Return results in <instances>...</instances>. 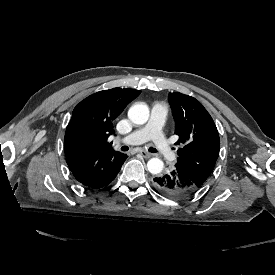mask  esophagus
<instances>
[{"instance_id": "esophagus-1", "label": "esophagus", "mask_w": 275, "mask_h": 275, "mask_svg": "<svg viewBox=\"0 0 275 275\" xmlns=\"http://www.w3.org/2000/svg\"><path fill=\"white\" fill-rule=\"evenodd\" d=\"M142 156H143V158H145V159H147V158H150L151 157V154L150 153H148L147 151H145V150H141L140 152H139Z\"/></svg>"}]
</instances>
